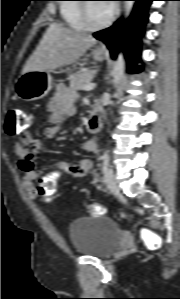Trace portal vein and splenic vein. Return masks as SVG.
I'll list each match as a JSON object with an SVG mask.
<instances>
[{"label":"portal vein and splenic vein","instance_id":"1","mask_svg":"<svg viewBox=\"0 0 180 299\" xmlns=\"http://www.w3.org/2000/svg\"><path fill=\"white\" fill-rule=\"evenodd\" d=\"M96 84L95 83H89V84H86L83 89L86 90V91H90V90H93L95 88Z\"/></svg>","mask_w":180,"mask_h":299}]
</instances>
